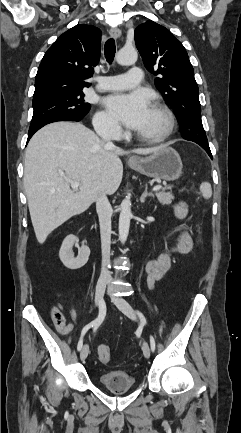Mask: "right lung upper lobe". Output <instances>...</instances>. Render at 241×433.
Wrapping results in <instances>:
<instances>
[{
	"label": "right lung upper lobe",
	"mask_w": 241,
	"mask_h": 433,
	"mask_svg": "<svg viewBox=\"0 0 241 433\" xmlns=\"http://www.w3.org/2000/svg\"><path fill=\"white\" fill-rule=\"evenodd\" d=\"M101 31L76 25L63 33L45 53L35 78L33 97L53 92H82L99 61Z\"/></svg>",
	"instance_id": "obj_1"
}]
</instances>
